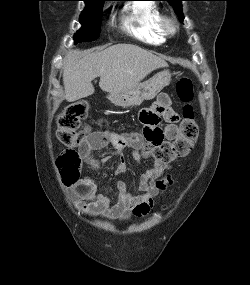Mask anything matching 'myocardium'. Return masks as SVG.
I'll use <instances>...</instances> for the list:
<instances>
[{
  "label": "myocardium",
  "mask_w": 250,
  "mask_h": 285,
  "mask_svg": "<svg viewBox=\"0 0 250 285\" xmlns=\"http://www.w3.org/2000/svg\"><path fill=\"white\" fill-rule=\"evenodd\" d=\"M159 26L164 36H173L178 30L176 19L169 15L161 16Z\"/></svg>",
  "instance_id": "f54148a6"
}]
</instances>
